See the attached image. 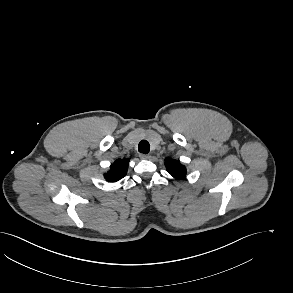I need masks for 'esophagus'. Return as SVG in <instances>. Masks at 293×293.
<instances>
[{
  "label": "esophagus",
  "mask_w": 293,
  "mask_h": 293,
  "mask_svg": "<svg viewBox=\"0 0 293 293\" xmlns=\"http://www.w3.org/2000/svg\"><path fill=\"white\" fill-rule=\"evenodd\" d=\"M139 157L143 160L150 159V155L148 154H140Z\"/></svg>",
  "instance_id": "34e87169"
}]
</instances>
